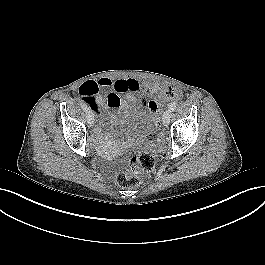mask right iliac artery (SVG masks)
I'll list each match as a JSON object with an SVG mask.
<instances>
[{
  "instance_id": "right-iliac-artery-1",
  "label": "right iliac artery",
  "mask_w": 265,
  "mask_h": 265,
  "mask_svg": "<svg viewBox=\"0 0 265 265\" xmlns=\"http://www.w3.org/2000/svg\"><path fill=\"white\" fill-rule=\"evenodd\" d=\"M79 105L81 106V108L83 109V110H86L87 111V105L84 103V102H82V101H80L79 102Z\"/></svg>"
}]
</instances>
